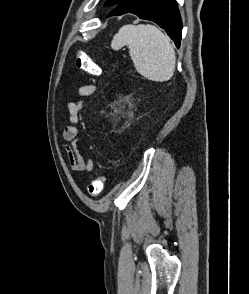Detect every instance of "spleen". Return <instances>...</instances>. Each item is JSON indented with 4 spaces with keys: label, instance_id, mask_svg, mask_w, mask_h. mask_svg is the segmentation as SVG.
Here are the masks:
<instances>
[{
    "label": "spleen",
    "instance_id": "spleen-1",
    "mask_svg": "<svg viewBox=\"0 0 249 294\" xmlns=\"http://www.w3.org/2000/svg\"><path fill=\"white\" fill-rule=\"evenodd\" d=\"M129 49L137 72L157 82L169 80L175 71L176 55L170 39L153 25H124L114 35L111 47Z\"/></svg>",
    "mask_w": 249,
    "mask_h": 294
}]
</instances>
